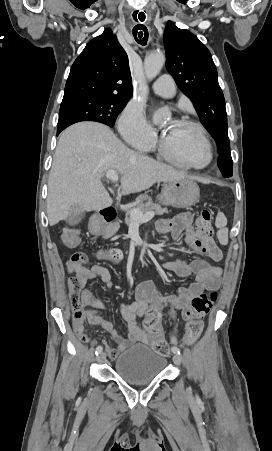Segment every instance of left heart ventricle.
Returning <instances> with one entry per match:
<instances>
[{"instance_id": "b2bd125f", "label": "left heart ventricle", "mask_w": 272, "mask_h": 451, "mask_svg": "<svg viewBox=\"0 0 272 451\" xmlns=\"http://www.w3.org/2000/svg\"><path fill=\"white\" fill-rule=\"evenodd\" d=\"M168 146L184 163L193 166H203L208 160L206 149L197 131L175 120L163 122Z\"/></svg>"}]
</instances>
